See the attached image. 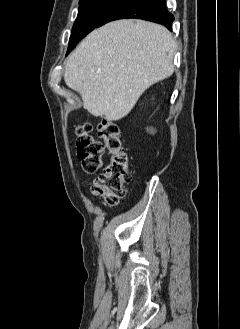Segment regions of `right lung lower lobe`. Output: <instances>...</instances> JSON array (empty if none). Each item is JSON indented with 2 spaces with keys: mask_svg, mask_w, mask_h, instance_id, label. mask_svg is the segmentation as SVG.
Returning a JSON list of instances; mask_svg holds the SVG:
<instances>
[{
  "mask_svg": "<svg viewBox=\"0 0 240 329\" xmlns=\"http://www.w3.org/2000/svg\"><path fill=\"white\" fill-rule=\"evenodd\" d=\"M166 0H120L96 25L100 27L107 22L136 18L156 22L171 29L174 16L167 11Z\"/></svg>",
  "mask_w": 240,
  "mask_h": 329,
  "instance_id": "98d812e1",
  "label": "right lung lower lobe"
}]
</instances>
